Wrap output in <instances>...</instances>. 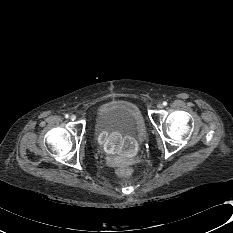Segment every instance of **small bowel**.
I'll use <instances>...</instances> for the list:
<instances>
[{"label":"small bowel","instance_id":"c3829d8e","mask_svg":"<svg viewBox=\"0 0 233 233\" xmlns=\"http://www.w3.org/2000/svg\"><path fill=\"white\" fill-rule=\"evenodd\" d=\"M98 145L103 150H110L112 157L118 161H128L136 153L134 140L122 133H103L98 138Z\"/></svg>","mask_w":233,"mask_h":233}]
</instances>
